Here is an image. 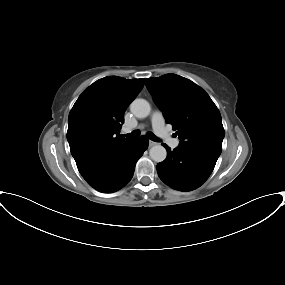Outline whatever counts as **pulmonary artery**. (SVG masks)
<instances>
[{
    "label": "pulmonary artery",
    "instance_id": "e3ab8cb5",
    "mask_svg": "<svg viewBox=\"0 0 285 285\" xmlns=\"http://www.w3.org/2000/svg\"><path fill=\"white\" fill-rule=\"evenodd\" d=\"M151 123L154 132L159 136L168 146L176 148L179 146V140L172 137L165 126L164 118L161 112L155 111L151 116Z\"/></svg>",
    "mask_w": 285,
    "mask_h": 285
}]
</instances>
